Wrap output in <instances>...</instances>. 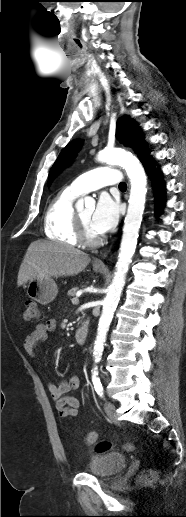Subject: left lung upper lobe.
<instances>
[{"label": "left lung upper lobe", "mask_w": 186, "mask_h": 517, "mask_svg": "<svg viewBox=\"0 0 186 517\" xmlns=\"http://www.w3.org/2000/svg\"><path fill=\"white\" fill-rule=\"evenodd\" d=\"M116 137L124 146L133 148L139 157L146 151V142L143 139L141 129L131 118L123 117L118 120L116 125ZM79 147L80 141L75 140L70 142L61 151L50 170L48 178L49 185L62 171L63 167L72 160Z\"/></svg>", "instance_id": "5c2ea615"}]
</instances>
